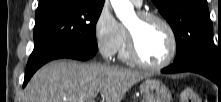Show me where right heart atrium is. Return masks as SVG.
I'll return each instance as SVG.
<instances>
[{
  "label": "right heart atrium",
  "mask_w": 221,
  "mask_h": 102,
  "mask_svg": "<svg viewBox=\"0 0 221 102\" xmlns=\"http://www.w3.org/2000/svg\"><path fill=\"white\" fill-rule=\"evenodd\" d=\"M95 42L100 53L105 57L114 56L121 48L125 32L111 11L104 7L94 23Z\"/></svg>",
  "instance_id": "1"
}]
</instances>
